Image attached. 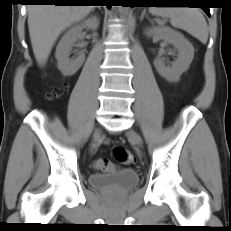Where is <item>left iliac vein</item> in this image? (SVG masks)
Instances as JSON below:
<instances>
[{
    "instance_id": "4c4485c4",
    "label": "left iliac vein",
    "mask_w": 231,
    "mask_h": 231,
    "mask_svg": "<svg viewBox=\"0 0 231 231\" xmlns=\"http://www.w3.org/2000/svg\"><path fill=\"white\" fill-rule=\"evenodd\" d=\"M127 135L130 139H132V141L137 145V146H141L142 145V140L141 137L133 130L130 129L127 132Z\"/></svg>"
}]
</instances>
